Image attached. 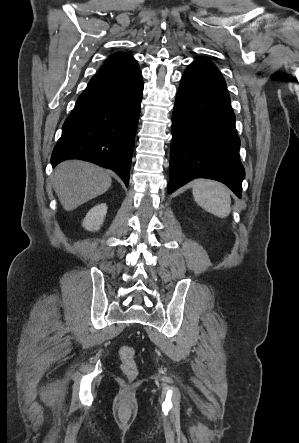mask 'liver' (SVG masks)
I'll return each instance as SVG.
<instances>
[{
	"label": "liver",
	"mask_w": 299,
	"mask_h": 443,
	"mask_svg": "<svg viewBox=\"0 0 299 443\" xmlns=\"http://www.w3.org/2000/svg\"><path fill=\"white\" fill-rule=\"evenodd\" d=\"M112 179L103 168L81 160H66L57 165L53 188L66 211L105 193Z\"/></svg>",
	"instance_id": "6515ba94"
}]
</instances>
